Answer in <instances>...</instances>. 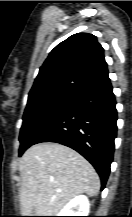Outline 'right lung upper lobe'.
<instances>
[{"mask_svg": "<svg viewBox=\"0 0 132 217\" xmlns=\"http://www.w3.org/2000/svg\"><path fill=\"white\" fill-rule=\"evenodd\" d=\"M110 81L97 38L77 33L58 44L40 68L29 97L55 91L79 95Z\"/></svg>", "mask_w": 132, "mask_h": 217, "instance_id": "1", "label": "right lung upper lobe"}]
</instances>
